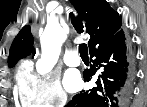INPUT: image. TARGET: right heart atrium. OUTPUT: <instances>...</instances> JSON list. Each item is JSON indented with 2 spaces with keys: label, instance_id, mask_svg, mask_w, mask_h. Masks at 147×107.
<instances>
[{
  "label": "right heart atrium",
  "instance_id": "right-heart-atrium-1",
  "mask_svg": "<svg viewBox=\"0 0 147 107\" xmlns=\"http://www.w3.org/2000/svg\"><path fill=\"white\" fill-rule=\"evenodd\" d=\"M18 92L23 105L36 107L62 106L68 99L56 73L40 75L31 66L19 71Z\"/></svg>",
  "mask_w": 147,
  "mask_h": 107
}]
</instances>
